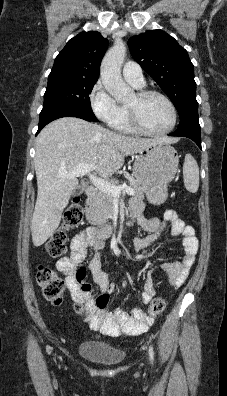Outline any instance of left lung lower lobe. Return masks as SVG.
Returning <instances> with one entry per match:
<instances>
[{
	"label": "left lung lower lobe",
	"mask_w": 227,
	"mask_h": 396,
	"mask_svg": "<svg viewBox=\"0 0 227 396\" xmlns=\"http://www.w3.org/2000/svg\"><path fill=\"white\" fill-rule=\"evenodd\" d=\"M169 136L187 137L192 139L201 149L200 125L198 121V109L187 111L180 117L177 130Z\"/></svg>",
	"instance_id": "obj_1"
}]
</instances>
